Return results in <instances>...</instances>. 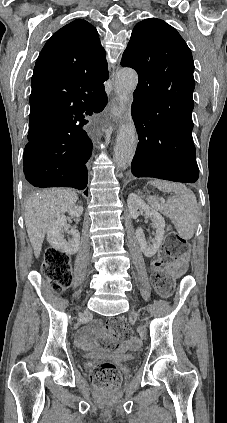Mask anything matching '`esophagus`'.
<instances>
[{
    "instance_id": "obj_1",
    "label": "esophagus",
    "mask_w": 227,
    "mask_h": 423,
    "mask_svg": "<svg viewBox=\"0 0 227 423\" xmlns=\"http://www.w3.org/2000/svg\"><path fill=\"white\" fill-rule=\"evenodd\" d=\"M112 113L117 119H119L121 116V110L116 105H113Z\"/></svg>"
}]
</instances>
